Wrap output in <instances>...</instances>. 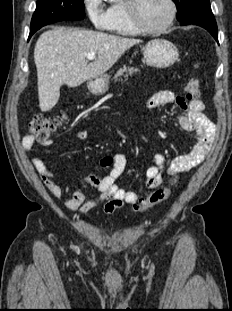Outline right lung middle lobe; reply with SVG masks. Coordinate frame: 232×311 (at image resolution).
Masks as SVG:
<instances>
[{"label":"right lung middle lobe","mask_w":232,"mask_h":311,"mask_svg":"<svg viewBox=\"0 0 232 311\" xmlns=\"http://www.w3.org/2000/svg\"><path fill=\"white\" fill-rule=\"evenodd\" d=\"M84 0H37L31 30L62 20H81L85 16Z\"/></svg>","instance_id":"obj_1"}]
</instances>
